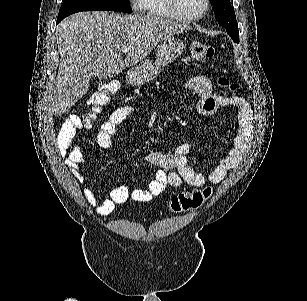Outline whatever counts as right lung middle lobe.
Instances as JSON below:
<instances>
[{"label": "right lung middle lobe", "instance_id": "dd1d6c3e", "mask_svg": "<svg viewBox=\"0 0 307 301\" xmlns=\"http://www.w3.org/2000/svg\"><path fill=\"white\" fill-rule=\"evenodd\" d=\"M93 10L132 13L129 0H64L59 10L57 23L73 13Z\"/></svg>", "mask_w": 307, "mask_h": 301}]
</instances>
